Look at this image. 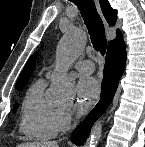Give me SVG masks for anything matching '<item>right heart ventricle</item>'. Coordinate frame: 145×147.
<instances>
[{"label":"right heart ventricle","mask_w":145,"mask_h":147,"mask_svg":"<svg viewBox=\"0 0 145 147\" xmlns=\"http://www.w3.org/2000/svg\"><path fill=\"white\" fill-rule=\"evenodd\" d=\"M46 81L36 80L27 90L20 112L19 131L28 138L45 140L57 134L59 108L45 96Z\"/></svg>","instance_id":"1"}]
</instances>
